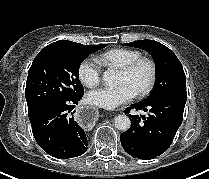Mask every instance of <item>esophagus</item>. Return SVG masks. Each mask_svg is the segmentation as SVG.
<instances>
[{"mask_svg":"<svg viewBox=\"0 0 209 179\" xmlns=\"http://www.w3.org/2000/svg\"><path fill=\"white\" fill-rule=\"evenodd\" d=\"M75 119L81 127L89 128L97 122L98 114L92 106H81L76 111Z\"/></svg>","mask_w":209,"mask_h":179,"instance_id":"esophagus-1","label":"esophagus"}]
</instances>
